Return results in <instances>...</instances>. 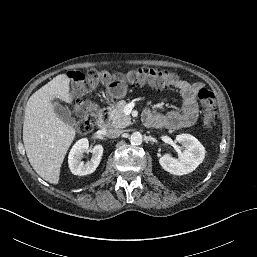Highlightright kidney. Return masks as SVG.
<instances>
[{
  "instance_id": "right-kidney-1",
  "label": "right kidney",
  "mask_w": 257,
  "mask_h": 257,
  "mask_svg": "<svg viewBox=\"0 0 257 257\" xmlns=\"http://www.w3.org/2000/svg\"><path fill=\"white\" fill-rule=\"evenodd\" d=\"M91 152L90 161L84 163L81 161L84 152ZM103 154V147L95 145L89 148V142L86 138L78 140L70 150L68 156V165L74 175L84 176L93 173L98 167Z\"/></svg>"
}]
</instances>
